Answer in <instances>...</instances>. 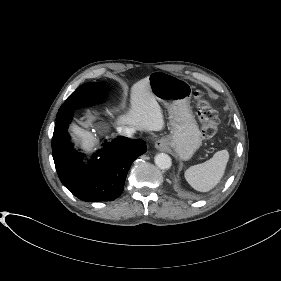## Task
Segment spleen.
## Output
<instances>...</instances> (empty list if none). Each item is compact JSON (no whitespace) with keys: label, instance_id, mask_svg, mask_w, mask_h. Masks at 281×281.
I'll return each instance as SVG.
<instances>
[{"label":"spleen","instance_id":"spleen-1","mask_svg":"<svg viewBox=\"0 0 281 281\" xmlns=\"http://www.w3.org/2000/svg\"><path fill=\"white\" fill-rule=\"evenodd\" d=\"M228 159L226 149L218 151L206 162L189 167L185 179L197 191H210L223 177Z\"/></svg>","mask_w":281,"mask_h":281}]
</instances>
